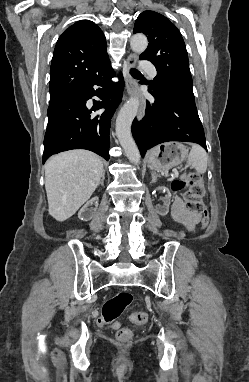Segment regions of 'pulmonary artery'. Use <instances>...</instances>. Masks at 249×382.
<instances>
[{"label": "pulmonary artery", "mask_w": 249, "mask_h": 382, "mask_svg": "<svg viewBox=\"0 0 249 382\" xmlns=\"http://www.w3.org/2000/svg\"><path fill=\"white\" fill-rule=\"evenodd\" d=\"M142 68L145 69V70H147V71L150 73V75H151L152 78H155V77H156L157 72H156L155 68L153 67V65H151L150 63H148V62H143V63H142Z\"/></svg>", "instance_id": "1"}]
</instances>
